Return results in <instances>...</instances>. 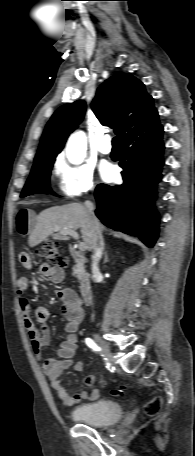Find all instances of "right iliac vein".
Wrapping results in <instances>:
<instances>
[{"label": "right iliac vein", "mask_w": 195, "mask_h": 456, "mask_svg": "<svg viewBox=\"0 0 195 456\" xmlns=\"http://www.w3.org/2000/svg\"><path fill=\"white\" fill-rule=\"evenodd\" d=\"M94 340L99 345L103 356L108 361L112 362L113 361V356H112V353L110 351V348H109L108 344L104 340H102L101 337L98 334H94Z\"/></svg>", "instance_id": "63e3f726"}]
</instances>
